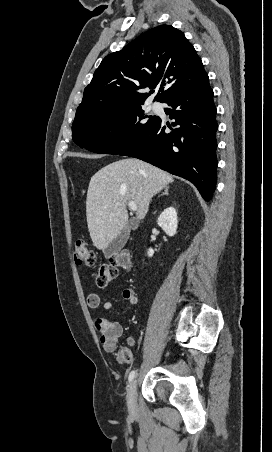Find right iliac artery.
I'll use <instances>...</instances> for the list:
<instances>
[{
    "label": "right iliac artery",
    "mask_w": 272,
    "mask_h": 452,
    "mask_svg": "<svg viewBox=\"0 0 272 452\" xmlns=\"http://www.w3.org/2000/svg\"><path fill=\"white\" fill-rule=\"evenodd\" d=\"M135 374H136V371H135V370H133V371L130 372L129 378H128L129 382H131V381L134 379Z\"/></svg>",
    "instance_id": "obj_1"
}]
</instances>
